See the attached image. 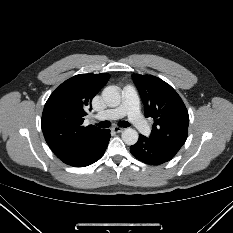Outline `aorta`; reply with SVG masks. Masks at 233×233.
<instances>
[{
  "mask_svg": "<svg viewBox=\"0 0 233 233\" xmlns=\"http://www.w3.org/2000/svg\"><path fill=\"white\" fill-rule=\"evenodd\" d=\"M103 101L109 107H117L121 103V94L117 86H108L102 92ZM138 132L127 128L122 132V140L127 145H134L138 141Z\"/></svg>",
  "mask_w": 233,
  "mask_h": 233,
  "instance_id": "aorta-1",
  "label": "aorta"
}]
</instances>
